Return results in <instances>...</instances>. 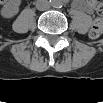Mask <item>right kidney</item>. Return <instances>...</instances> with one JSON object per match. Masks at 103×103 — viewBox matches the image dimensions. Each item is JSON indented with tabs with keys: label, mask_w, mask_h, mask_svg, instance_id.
I'll list each match as a JSON object with an SVG mask.
<instances>
[{
	"label": "right kidney",
	"mask_w": 103,
	"mask_h": 103,
	"mask_svg": "<svg viewBox=\"0 0 103 103\" xmlns=\"http://www.w3.org/2000/svg\"><path fill=\"white\" fill-rule=\"evenodd\" d=\"M19 5H20V3L13 2V1H9V2L5 3L1 9V15L4 18H12L13 16H15L18 13Z\"/></svg>",
	"instance_id": "obj_1"
}]
</instances>
